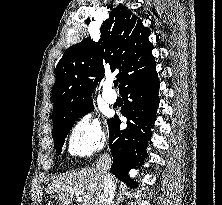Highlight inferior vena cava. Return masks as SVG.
Masks as SVG:
<instances>
[{
	"label": "inferior vena cava",
	"mask_w": 222,
	"mask_h": 205,
	"mask_svg": "<svg viewBox=\"0 0 222 205\" xmlns=\"http://www.w3.org/2000/svg\"><path fill=\"white\" fill-rule=\"evenodd\" d=\"M111 165L112 158L107 153H104L97 161L96 169L103 184V191L99 197V205H111L114 198L115 184L109 173Z\"/></svg>",
	"instance_id": "obj_1"
}]
</instances>
